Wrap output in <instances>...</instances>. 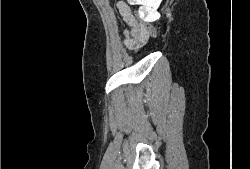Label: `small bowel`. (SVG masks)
<instances>
[{
	"label": "small bowel",
	"mask_w": 250,
	"mask_h": 169,
	"mask_svg": "<svg viewBox=\"0 0 250 169\" xmlns=\"http://www.w3.org/2000/svg\"><path fill=\"white\" fill-rule=\"evenodd\" d=\"M121 13L124 16L125 21L129 24L131 27V34L133 37L138 38L140 35V29L142 25H140L132 16L131 14H126L121 10ZM142 43L136 42L135 39H129L128 40V47L132 50L138 49Z\"/></svg>",
	"instance_id": "c3829d8e"
}]
</instances>
